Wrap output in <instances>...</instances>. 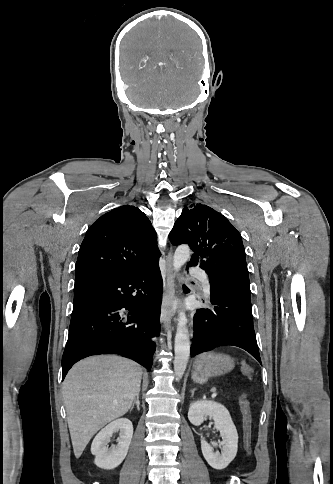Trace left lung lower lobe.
Returning <instances> with one entry per match:
<instances>
[{
	"instance_id": "left-lung-lower-lobe-1",
	"label": "left lung lower lobe",
	"mask_w": 333,
	"mask_h": 484,
	"mask_svg": "<svg viewBox=\"0 0 333 484\" xmlns=\"http://www.w3.org/2000/svg\"><path fill=\"white\" fill-rule=\"evenodd\" d=\"M192 257L187 267L196 265ZM210 278L212 309L194 315L191 356L232 345L252 354L260 363L253 326L251 291L245 256L236 247L219 249L202 260Z\"/></svg>"
}]
</instances>
